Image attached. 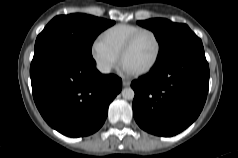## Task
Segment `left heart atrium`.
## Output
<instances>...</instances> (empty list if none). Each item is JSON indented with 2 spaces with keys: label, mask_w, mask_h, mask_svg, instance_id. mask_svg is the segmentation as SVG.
<instances>
[{
  "label": "left heart atrium",
  "mask_w": 238,
  "mask_h": 158,
  "mask_svg": "<svg viewBox=\"0 0 238 158\" xmlns=\"http://www.w3.org/2000/svg\"><path fill=\"white\" fill-rule=\"evenodd\" d=\"M125 69H126L127 71H130V70H128L126 67H125Z\"/></svg>",
  "instance_id": "left-heart-atrium-1"
}]
</instances>
